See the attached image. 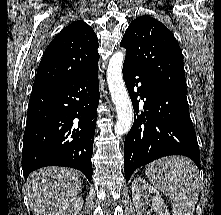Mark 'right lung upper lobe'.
Segmentation results:
<instances>
[{"instance_id": "cb5924a9", "label": "right lung upper lobe", "mask_w": 221, "mask_h": 215, "mask_svg": "<svg viewBox=\"0 0 221 215\" xmlns=\"http://www.w3.org/2000/svg\"><path fill=\"white\" fill-rule=\"evenodd\" d=\"M98 40L83 21L65 27L49 44L39 64L32 92L66 82L98 63Z\"/></svg>"}]
</instances>
